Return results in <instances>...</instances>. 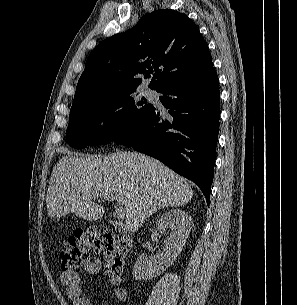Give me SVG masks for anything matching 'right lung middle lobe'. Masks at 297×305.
Segmentation results:
<instances>
[{
    "label": "right lung middle lobe",
    "mask_w": 297,
    "mask_h": 305,
    "mask_svg": "<svg viewBox=\"0 0 297 305\" xmlns=\"http://www.w3.org/2000/svg\"><path fill=\"white\" fill-rule=\"evenodd\" d=\"M135 91H126L104 98L72 105L66 140L74 148L106 144L146 117L153 107L145 98L135 103ZM103 122V126L99 125Z\"/></svg>",
    "instance_id": "obj_1"
}]
</instances>
